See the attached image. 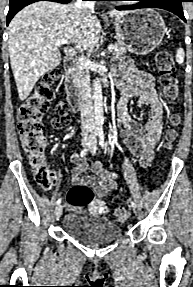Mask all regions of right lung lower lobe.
<instances>
[{
	"label": "right lung lower lobe",
	"instance_id": "98d812e1",
	"mask_svg": "<svg viewBox=\"0 0 193 287\" xmlns=\"http://www.w3.org/2000/svg\"><path fill=\"white\" fill-rule=\"evenodd\" d=\"M37 1H42V0H10L9 3V12L7 15V25L11 21V19L14 17V15L20 11L22 8L25 6L37 2ZM46 1H53V2H58V3H69L72 0H46Z\"/></svg>",
	"mask_w": 193,
	"mask_h": 287
}]
</instances>
